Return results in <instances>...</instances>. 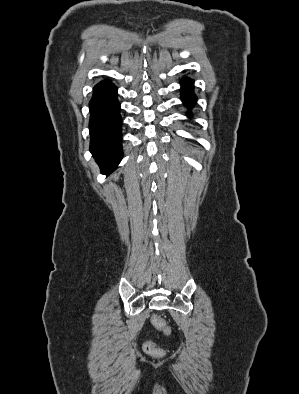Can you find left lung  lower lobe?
I'll return each mask as SVG.
<instances>
[{"label":"left lung lower lobe","instance_id":"obj_1","mask_svg":"<svg viewBox=\"0 0 299 394\" xmlns=\"http://www.w3.org/2000/svg\"><path fill=\"white\" fill-rule=\"evenodd\" d=\"M193 84L194 81L189 78H184L181 81V90H182L181 98L184 104L188 107L194 106L196 102V96L193 92ZM188 116H191L190 111L188 112Z\"/></svg>","mask_w":299,"mask_h":394}]
</instances>
